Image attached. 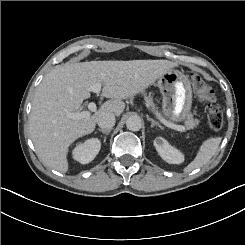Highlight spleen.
I'll list each match as a JSON object with an SVG mask.
<instances>
[{
	"instance_id": "1",
	"label": "spleen",
	"mask_w": 245,
	"mask_h": 245,
	"mask_svg": "<svg viewBox=\"0 0 245 245\" xmlns=\"http://www.w3.org/2000/svg\"><path fill=\"white\" fill-rule=\"evenodd\" d=\"M220 142V137L210 138L204 141L195 159L187 167L184 168V172H191L192 170L200 168L208 163L218 150Z\"/></svg>"
}]
</instances>
